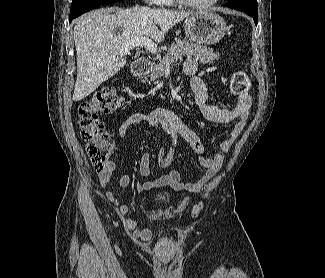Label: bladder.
I'll list each match as a JSON object with an SVG mask.
<instances>
[{
    "mask_svg": "<svg viewBox=\"0 0 325 278\" xmlns=\"http://www.w3.org/2000/svg\"><path fill=\"white\" fill-rule=\"evenodd\" d=\"M157 198L161 201H167L169 199V195L166 193H161L157 195Z\"/></svg>",
    "mask_w": 325,
    "mask_h": 278,
    "instance_id": "bladder-1",
    "label": "bladder"
}]
</instances>
